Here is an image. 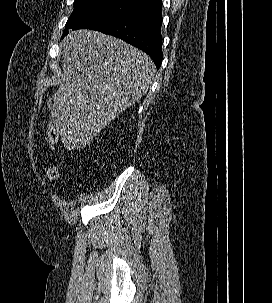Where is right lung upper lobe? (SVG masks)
<instances>
[{
  "label": "right lung upper lobe",
  "mask_w": 272,
  "mask_h": 303,
  "mask_svg": "<svg viewBox=\"0 0 272 303\" xmlns=\"http://www.w3.org/2000/svg\"><path fill=\"white\" fill-rule=\"evenodd\" d=\"M125 1L135 3L139 7V9H143L145 7L156 4L161 0H125Z\"/></svg>",
  "instance_id": "1"
}]
</instances>
